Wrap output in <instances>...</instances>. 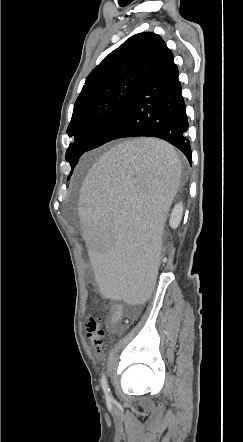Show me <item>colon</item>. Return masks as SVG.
<instances>
[{
	"mask_svg": "<svg viewBox=\"0 0 243 442\" xmlns=\"http://www.w3.org/2000/svg\"><path fill=\"white\" fill-rule=\"evenodd\" d=\"M162 251L159 256L162 259L167 258L169 252L170 237L164 236L161 239ZM86 335L91 342L93 348L97 352H103L106 347V335L103 328L102 319L100 317H90L86 323Z\"/></svg>",
	"mask_w": 243,
	"mask_h": 442,
	"instance_id": "obj_1",
	"label": "colon"
}]
</instances>
